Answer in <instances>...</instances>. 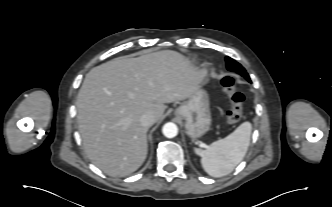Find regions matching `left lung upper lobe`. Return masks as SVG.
I'll list each match as a JSON object with an SVG mask.
<instances>
[{"instance_id": "5c2ea615", "label": "left lung upper lobe", "mask_w": 332, "mask_h": 207, "mask_svg": "<svg viewBox=\"0 0 332 207\" xmlns=\"http://www.w3.org/2000/svg\"><path fill=\"white\" fill-rule=\"evenodd\" d=\"M226 66L227 69L231 72H237L239 73L241 76H243L246 80H248L249 82H251L249 75L247 74L246 70L235 60H233L230 57H226Z\"/></svg>"}]
</instances>
